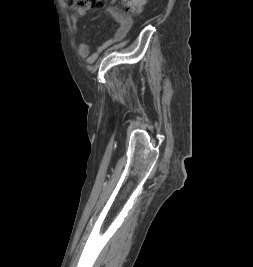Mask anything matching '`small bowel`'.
<instances>
[{
    "mask_svg": "<svg viewBox=\"0 0 253 267\" xmlns=\"http://www.w3.org/2000/svg\"><path fill=\"white\" fill-rule=\"evenodd\" d=\"M108 13L115 19L118 24V27L116 28L113 35L108 38L104 43H102L95 52H91L90 47L87 43L83 41H80L78 43L77 50L79 55L82 58H85L89 63H93L98 58L99 54L110 46L121 42L126 37L132 27V18L129 15L120 11L118 8L111 7L108 9ZM71 19L74 26H76L77 17L73 15Z\"/></svg>",
    "mask_w": 253,
    "mask_h": 267,
    "instance_id": "c3829d8e",
    "label": "small bowel"
}]
</instances>
